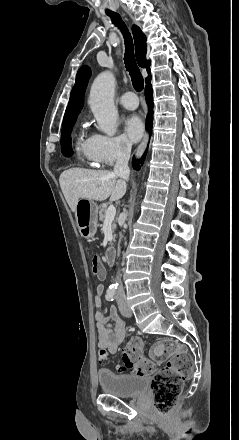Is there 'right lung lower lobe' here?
Instances as JSON below:
<instances>
[{
	"label": "right lung lower lobe",
	"instance_id": "1",
	"mask_svg": "<svg viewBox=\"0 0 239 440\" xmlns=\"http://www.w3.org/2000/svg\"><path fill=\"white\" fill-rule=\"evenodd\" d=\"M145 81H146V87H145L146 101H147L148 108H149V113L146 118V129L151 134L152 121H153V91H152V86H151V74L146 78ZM63 154L66 156H70L72 154V150L70 149L66 152H63ZM145 155H146V152L144 153V155L142 156V158L140 160L141 164H143V161L145 159ZM133 167H134V169L140 168L138 162H136L134 160H133Z\"/></svg>",
	"mask_w": 239,
	"mask_h": 440
}]
</instances>
